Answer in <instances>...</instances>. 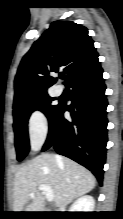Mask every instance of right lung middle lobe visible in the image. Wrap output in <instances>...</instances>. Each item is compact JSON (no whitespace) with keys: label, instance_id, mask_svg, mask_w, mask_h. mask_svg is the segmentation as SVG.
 I'll list each match as a JSON object with an SVG mask.
<instances>
[{"label":"right lung middle lobe","instance_id":"1","mask_svg":"<svg viewBox=\"0 0 123 219\" xmlns=\"http://www.w3.org/2000/svg\"><path fill=\"white\" fill-rule=\"evenodd\" d=\"M53 100H55V98L50 97L46 93L13 106V128L18 161H21L28 154L30 149L27 125L31 113L35 110H40L50 121L59 106L52 105Z\"/></svg>","mask_w":123,"mask_h":219}]
</instances>
